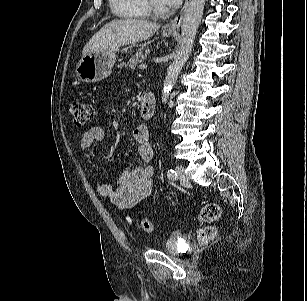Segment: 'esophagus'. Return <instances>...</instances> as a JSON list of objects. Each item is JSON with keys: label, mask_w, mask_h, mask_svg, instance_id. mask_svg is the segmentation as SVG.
<instances>
[{"label": "esophagus", "mask_w": 307, "mask_h": 301, "mask_svg": "<svg viewBox=\"0 0 307 301\" xmlns=\"http://www.w3.org/2000/svg\"><path fill=\"white\" fill-rule=\"evenodd\" d=\"M189 1L190 0H185V3L181 9V11L179 12V14L174 18L172 19L169 23H167L165 26H164V29L166 31H169V32H174L176 31L181 23H182V19H183V16H184V13L189 5Z\"/></svg>", "instance_id": "1"}]
</instances>
